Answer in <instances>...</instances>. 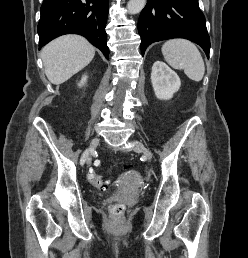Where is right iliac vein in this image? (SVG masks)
I'll list each match as a JSON object with an SVG mask.
<instances>
[{"instance_id": "right-iliac-vein-1", "label": "right iliac vein", "mask_w": 248, "mask_h": 258, "mask_svg": "<svg viewBox=\"0 0 248 258\" xmlns=\"http://www.w3.org/2000/svg\"><path fill=\"white\" fill-rule=\"evenodd\" d=\"M98 144H99V138H97V137L93 138L91 143H90L91 151H93L98 146ZM91 162H92V157H91V155H89L88 158H87L86 163H87V165H90Z\"/></svg>"}]
</instances>
